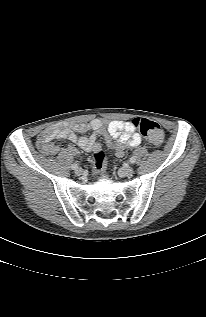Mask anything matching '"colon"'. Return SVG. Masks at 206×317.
<instances>
[{"instance_id": "colon-1", "label": "colon", "mask_w": 206, "mask_h": 317, "mask_svg": "<svg viewBox=\"0 0 206 317\" xmlns=\"http://www.w3.org/2000/svg\"><path fill=\"white\" fill-rule=\"evenodd\" d=\"M132 124L153 145H160L162 143L164 133L157 122L147 118H136L132 121ZM94 159L95 170L97 173H101L105 167V153L101 150L96 151Z\"/></svg>"}]
</instances>
